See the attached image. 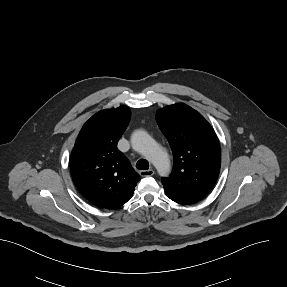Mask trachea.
I'll use <instances>...</instances> for the list:
<instances>
[{"label": "trachea", "instance_id": "trachea-1", "mask_svg": "<svg viewBox=\"0 0 287 287\" xmlns=\"http://www.w3.org/2000/svg\"><path fill=\"white\" fill-rule=\"evenodd\" d=\"M136 168L139 169V170H147V169H149V163L145 159H140L136 163Z\"/></svg>", "mask_w": 287, "mask_h": 287}]
</instances>
